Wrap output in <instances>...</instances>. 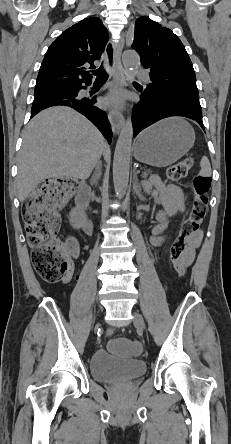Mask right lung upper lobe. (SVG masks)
<instances>
[{
    "label": "right lung upper lobe",
    "mask_w": 231,
    "mask_h": 444,
    "mask_svg": "<svg viewBox=\"0 0 231 444\" xmlns=\"http://www.w3.org/2000/svg\"><path fill=\"white\" fill-rule=\"evenodd\" d=\"M107 41V30L96 17L83 19L65 30L45 54L34 93L90 82L92 76L86 66L94 67Z\"/></svg>",
    "instance_id": "obj_1"
}]
</instances>
